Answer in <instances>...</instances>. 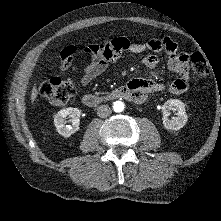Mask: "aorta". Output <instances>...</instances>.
Returning a JSON list of instances; mask_svg holds the SVG:
<instances>
[{
	"label": "aorta",
	"mask_w": 221,
	"mask_h": 221,
	"mask_svg": "<svg viewBox=\"0 0 221 221\" xmlns=\"http://www.w3.org/2000/svg\"><path fill=\"white\" fill-rule=\"evenodd\" d=\"M113 109L115 112H122L124 110V103L121 101H115L113 104Z\"/></svg>",
	"instance_id": "762f6f07"
}]
</instances>
